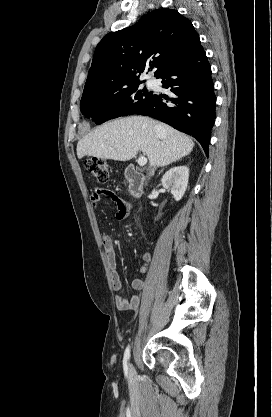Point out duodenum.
I'll return each mask as SVG.
<instances>
[{
    "mask_svg": "<svg viewBox=\"0 0 272 417\" xmlns=\"http://www.w3.org/2000/svg\"><path fill=\"white\" fill-rule=\"evenodd\" d=\"M125 177L129 183L130 195L137 198L142 195L145 187V176L133 165H128L124 171Z\"/></svg>",
    "mask_w": 272,
    "mask_h": 417,
    "instance_id": "duodenum-1",
    "label": "duodenum"
}]
</instances>
